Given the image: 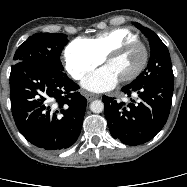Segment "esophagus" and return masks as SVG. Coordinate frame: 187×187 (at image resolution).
I'll use <instances>...</instances> for the list:
<instances>
[{
  "mask_svg": "<svg viewBox=\"0 0 187 187\" xmlns=\"http://www.w3.org/2000/svg\"><path fill=\"white\" fill-rule=\"evenodd\" d=\"M82 94L86 97V99L90 102L94 99H97L99 98V95H96V94H92V93H89V92H86V91H83Z\"/></svg>",
  "mask_w": 187,
  "mask_h": 187,
  "instance_id": "1",
  "label": "esophagus"
}]
</instances>
